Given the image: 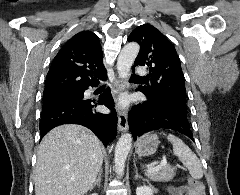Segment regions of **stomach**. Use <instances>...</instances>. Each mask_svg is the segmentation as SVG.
<instances>
[{
	"label": "stomach",
	"mask_w": 240,
	"mask_h": 195,
	"mask_svg": "<svg viewBox=\"0 0 240 195\" xmlns=\"http://www.w3.org/2000/svg\"><path fill=\"white\" fill-rule=\"evenodd\" d=\"M158 143L160 141L155 133H147V135H143L136 141V153L138 155H153L157 151Z\"/></svg>",
	"instance_id": "stomach-1"
}]
</instances>
